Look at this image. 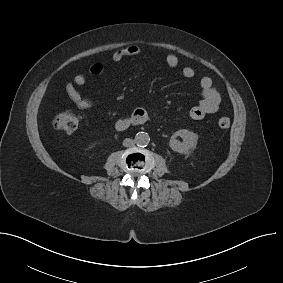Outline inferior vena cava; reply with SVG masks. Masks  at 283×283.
I'll return each instance as SVG.
<instances>
[{"label":"inferior vena cava","mask_w":283,"mask_h":283,"mask_svg":"<svg viewBox=\"0 0 283 283\" xmlns=\"http://www.w3.org/2000/svg\"><path fill=\"white\" fill-rule=\"evenodd\" d=\"M134 144H135V141L133 139H130V138H126L123 141V146H125V147H130V146H133Z\"/></svg>","instance_id":"obj_1"}]
</instances>
